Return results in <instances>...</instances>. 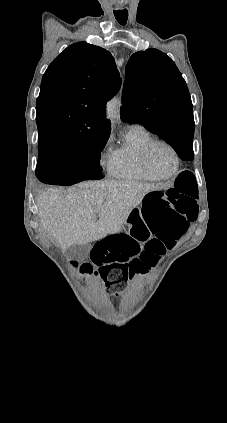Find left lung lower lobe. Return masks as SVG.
<instances>
[{"label": "left lung lower lobe", "instance_id": "obj_1", "mask_svg": "<svg viewBox=\"0 0 227 423\" xmlns=\"http://www.w3.org/2000/svg\"><path fill=\"white\" fill-rule=\"evenodd\" d=\"M193 141L179 140L174 142L171 146L177 152L182 160H193Z\"/></svg>", "mask_w": 227, "mask_h": 423}]
</instances>
